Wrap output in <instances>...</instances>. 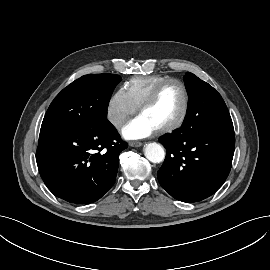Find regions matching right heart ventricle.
Here are the masks:
<instances>
[{
  "mask_svg": "<svg viewBox=\"0 0 270 270\" xmlns=\"http://www.w3.org/2000/svg\"><path fill=\"white\" fill-rule=\"evenodd\" d=\"M167 79L170 77L163 75L132 77L125 83L124 90L132 103L139 108L154 87Z\"/></svg>",
  "mask_w": 270,
  "mask_h": 270,
  "instance_id": "1",
  "label": "right heart ventricle"
}]
</instances>
